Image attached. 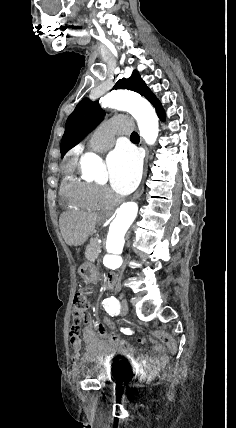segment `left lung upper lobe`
Masks as SVG:
<instances>
[{"mask_svg": "<svg viewBox=\"0 0 236 428\" xmlns=\"http://www.w3.org/2000/svg\"><path fill=\"white\" fill-rule=\"evenodd\" d=\"M113 89L135 91L145 96L156 109L162 107L156 96L146 86L145 82L142 81L138 71H133L131 77L128 79H120ZM104 115L105 113L99 107L98 101L92 102L88 98L80 101L67 119L65 133L60 146L61 157L82 141L102 121Z\"/></svg>", "mask_w": 236, "mask_h": 428, "instance_id": "5c2ea615", "label": "left lung upper lobe"}]
</instances>
